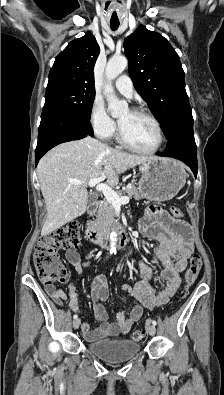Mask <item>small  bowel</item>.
<instances>
[{"instance_id": "1", "label": "small bowel", "mask_w": 224, "mask_h": 395, "mask_svg": "<svg viewBox=\"0 0 224 395\" xmlns=\"http://www.w3.org/2000/svg\"><path fill=\"white\" fill-rule=\"evenodd\" d=\"M139 229L147 239L158 242L153 249V260L163 266L161 278L165 285L158 291L154 290L150 285V281L154 279L152 269L141 261L139 268L142 281L133 287L123 286V289L133 298L135 305L127 314L118 313L115 321L110 323L103 306V302L108 299L109 295L107 281L103 275L95 277L91 283L90 295L94 315L100 322V326L96 330H91L87 322L83 321L81 324L82 334L89 342L108 336L127 334L142 316L145 308L154 309L166 304L180 285V275L185 270L194 248V236L190 225L181 219L171 217L159 207H150L140 219ZM65 256L78 273L89 265L88 261L81 260L75 250L67 249ZM44 287L58 305H62L68 299L65 292L53 284L44 283ZM68 291L70 307L74 312L79 313L78 296L72 283L68 284Z\"/></svg>"}]
</instances>
